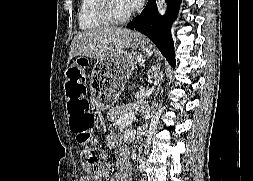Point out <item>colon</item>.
<instances>
[{"mask_svg": "<svg viewBox=\"0 0 253 181\" xmlns=\"http://www.w3.org/2000/svg\"><path fill=\"white\" fill-rule=\"evenodd\" d=\"M64 89L70 130L80 144L86 145L93 136L97 117L91 112L90 102L86 98L82 68L77 65L68 66L65 71ZM106 158L103 149L87 147L82 154L83 168L89 174H97L106 165Z\"/></svg>", "mask_w": 253, "mask_h": 181, "instance_id": "5ec220e1", "label": "colon"}]
</instances>
